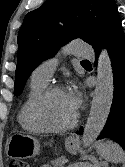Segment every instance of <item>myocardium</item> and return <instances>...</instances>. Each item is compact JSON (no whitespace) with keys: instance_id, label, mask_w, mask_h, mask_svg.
Returning a JSON list of instances; mask_svg holds the SVG:
<instances>
[{"instance_id":"obj_1","label":"myocardium","mask_w":125,"mask_h":167,"mask_svg":"<svg viewBox=\"0 0 125 167\" xmlns=\"http://www.w3.org/2000/svg\"><path fill=\"white\" fill-rule=\"evenodd\" d=\"M64 91L63 87L60 85L48 86L36 99L33 108H32V117L36 125L41 128L44 132L49 133H59L65 132L72 129L78 121V112L75 113L74 117L67 124L62 126H51L49 125L43 117V108L48 100V98L54 93Z\"/></svg>"}]
</instances>
